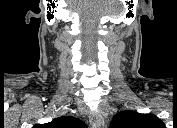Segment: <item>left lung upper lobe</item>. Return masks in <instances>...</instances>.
I'll return each instance as SVG.
<instances>
[{
    "instance_id": "left-lung-upper-lobe-1",
    "label": "left lung upper lobe",
    "mask_w": 177,
    "mask_h": 128,
    "mask_svg": "<svg viewBox=\"0 0 177 128\" xmlns=\"http://www.w3.org/2000/svg\"><path fill=\"white\" fill-rule=\"evenodd\" d=\"M163 122L154 114H141L132 110L117 113L110 128H160Z\"/></svg>"
}]
</instances>
